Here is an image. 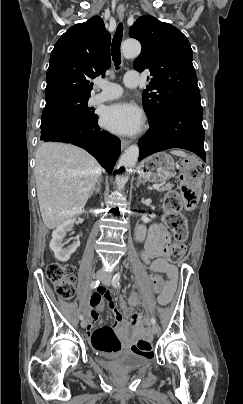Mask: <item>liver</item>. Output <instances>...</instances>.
<instances>
[{"label":"liver","instance_id":"1","mask_svg":"<svg viewBox=\"0 0 243 404\" xmlns=\"http://www.w3.org/2000/svg\"><path fill=\"white\" fill-rule=\"evenodd\" d=\"M35 180L42 220L49 230L85 208L102 168L88 152L59 142L37 148Z\"/></svg>","mask_w":243,"mask_h":404}]
</instances>
